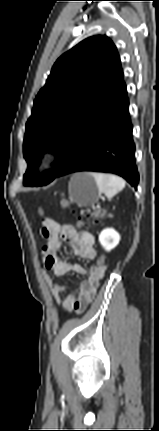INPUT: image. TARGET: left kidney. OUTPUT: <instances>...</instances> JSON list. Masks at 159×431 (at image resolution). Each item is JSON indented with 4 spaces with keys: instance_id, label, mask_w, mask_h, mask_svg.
<instances>
[{
    "instance_id": "left-kidney-1",
    "label": "left kidney",
    "mask_w": 159,
    "mask_h": 431,
    "mask_svg": "<svg viewBox=\"0 0 159 431\" xmlns=\"http://www.w3.org/2000/svg\"><path fill=\"white\" fill-rule=\"evenodd\" d=\"M99 241L106 251H110L118 245L120 235L113 228H106L100 233Z\"/></svg>"
}]
</instances>
